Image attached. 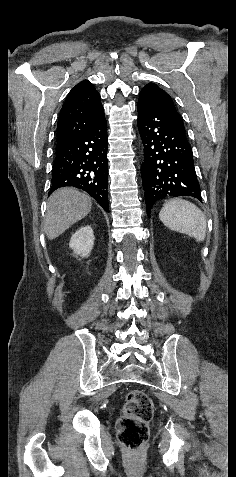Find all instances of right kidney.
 Listing matches in <instances>:
<instances>
[{"mask_svg":"<svg viewBox=\"0 0 236 477\" xmlns=\"http://www.w3.org/2000/svg\"><path fill=\"white\" fill-rule=\"evenodd\" d=\"M94 244V234L90 226L78 229L71 237L69 246L74 253L81 257H88Z\"/></svg>","mask_w":236,"mask_h":477,"instance_id":"right-kidney-1","label":"right kidney"}]
</instances>
